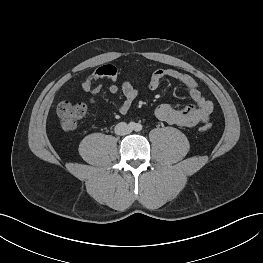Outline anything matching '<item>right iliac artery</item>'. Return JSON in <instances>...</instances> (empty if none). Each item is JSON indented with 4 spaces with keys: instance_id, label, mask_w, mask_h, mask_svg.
<instances>
[{
    "instance_id": "1",
    "label": "right iliac artery",
    "mask_w": 263,
    "mask_h": 263,
    "mask_svg": "<svg viewBox=\"0 0 263 263\" xmlns=\"http://www.w3.org/2000/svg\"><path fill=\"white\" fill-rule=\"evenodd\" d=\"M129 127H130L131 129H133V128L135 127V123H134V122H130V123H129Z\"/></svg>"
}]
</instances>
